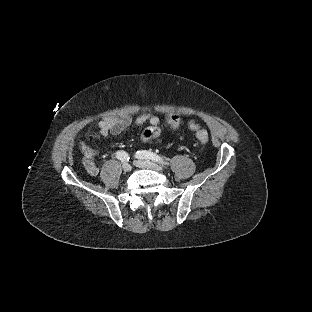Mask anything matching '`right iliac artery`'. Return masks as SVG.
<instances>
[{"instance_id": "right-iliac-artery-1", "label": "right iliac artery", "mask_w": 312, "mask_h": 312, "mask_svg": "<svg viewBox=\"0 0 312 312\" xmlns=\"http://www.w3.org/2000/svg\"><path fill=\"white\" fill-rule=\"evenodd\" d=\"M116 157H117L118 159H120L121 161H123V162H127V161H129V159H130L128 153H126V152L123 151V150L118 151V152L116 153Z\"/></svg>"}]
</instances>
